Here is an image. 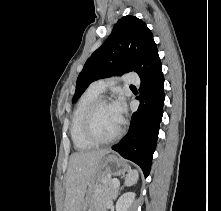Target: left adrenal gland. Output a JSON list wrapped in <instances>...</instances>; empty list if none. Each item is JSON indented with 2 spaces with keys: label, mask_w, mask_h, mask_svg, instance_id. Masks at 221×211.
Listing matches in <instances>:
<instances>
[{
  "label": "left adrenal gland",
  "mask_w": 221,
  "mask_h": 211,
  "mask_svg": "<svg viewBox=\"0 0 221 211\" xmlns=\"http://www.w3.org/2000/svg\"><path fill=\"white\" fill-rule=\"evenodd\" d=\"M122 189V187L120 188V190ZM119 194V191H118V193H117V195Z\"/></svg>",
  "instance_id": "obj_1"
}]
</instances>
